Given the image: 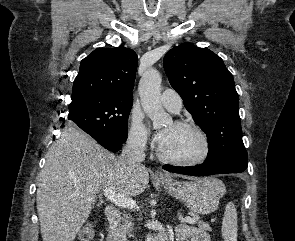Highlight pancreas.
Here are the masks:
<instances>
[{
  "instance_id": "cf45deb5",
  "label": "pancreas",
  "mask_w": 295,
  "mask_h": 241,
  "mask_svg": "<svg viewBox=\"0 0 295 241\" xmlns=\"http://www.w3.org/2000/svg\"><path fill=\"white\" fill-rule=\"evenodd\" d=\"M196 220L197 226L199 229L211 231V227L208 223L199 220L197 216L193 217ZM133 224L129 220V217H121L114 222V231L122 237H125L129 234V231L132 229Z\"/></svg>"
}]
</instances>
